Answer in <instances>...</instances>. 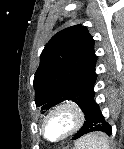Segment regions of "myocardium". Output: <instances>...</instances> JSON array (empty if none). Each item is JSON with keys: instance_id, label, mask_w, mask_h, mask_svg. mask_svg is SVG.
Returning a JSON list of instances; mask_svg holds the SVG:
<instances>
[{"instance_id": "myocardium-1", "label": "myocardium", "mask_w": 124, "mask_h": 149, "mask_svg": "<svg viewBox=\"0 0 124 149\" xmlns=\"http://www.w3.org/2000/svg\"><path fill=\"white\" fill-rule=\"evenodd\" d=\"M58 115H68L70 117V127L66 133L58 139H51L47 134V124L50 119ZM85 122V113L82 107L74 101L67 100L54 106L48 111L42 121V135L44 139L51 143L64 142L74 136Z\"/></svg>"}]
</instances>
